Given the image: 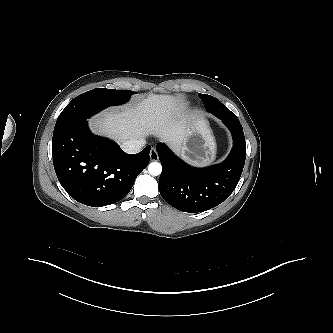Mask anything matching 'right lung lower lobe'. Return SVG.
Here are the masks:
<instances>
[{"label": "right lung lower lobe", "instance_id": "right-lung-lower-lobe-1", "mask_svg": "<svg viewBox=\"0 0 333 333\" xmlns=\"http://www.w3.org/2000/svg\"><path fill=\"white\" fill-rule=\"evenodd\" d=\"M150 149L125 153L113 140L91 133L87 117H58L52 138L59 182L72 198L92 207L123 199L148 165Z\"/></svg>", "mask_w": 333, "mask_h": 333}]
</instances>
